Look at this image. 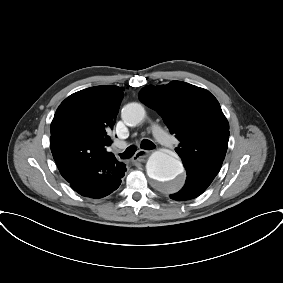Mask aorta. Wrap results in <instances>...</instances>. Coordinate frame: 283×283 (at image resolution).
Returning <instances> with one entry per match:
<instances>
[{
  "mask_svg": "<svg viewBox=\"0 0 283 283\" xmlns=\"http://www.w3.org/2000/svg\"><path fill=\"white\" fill-rule=\"evenodd\" d=\"M121 117L126 125L136 126L144 119L145 109L139 103H129L123 107ZM146 171L148 176L167 192H176L183 186L181 161L164 151L151 154Z\"/></svg>",
  "mask_w": 283,
  "mask_h": 283,
  "instance_id": "762f6f07",
  "label": "aorta"
}]
</instances>
